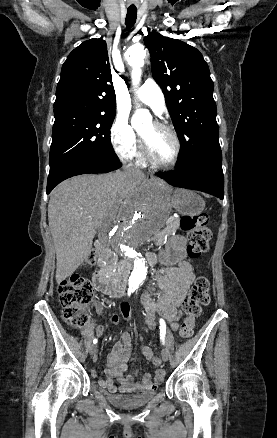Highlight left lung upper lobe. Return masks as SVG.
Here are the masks:
<instances>
[{"instance_id":"obj_1","label":"left lung upper lobe","mask_w":277,"mask_h":438,"mask_svg":"<svg viewBox=\"0 0 277 438\" xmlns=\"http://www.w3.org/2000/svg\"><path fill=\"white\" fill-rule=\"evenodd\" d=\"M144 43L151 69L162 88L182 145L177 170L190 169L212 157H222L216 122L213 81L202 54L177 39L148 31Z\"/></svg>"}]
</instances>
